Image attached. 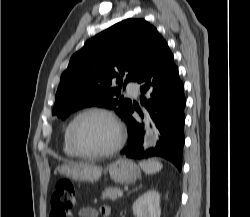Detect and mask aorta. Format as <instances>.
Segmentation results:
<instances>
[{"label": "aorta", "instance_id": "obj_1", "mask_svg": "<svg viewBox=\"0 0 250 217\" xmlns=\"http://www.w3.org/2000/svg\"><path fill=\"white\" fill-rule=\"evenodd\" d=\"M155 144V141L153 140V138H149L148 141H147V145L148 146H154Z\"/></svg>", "mask_w": 250, "mask_h": 217}]
</instances>
